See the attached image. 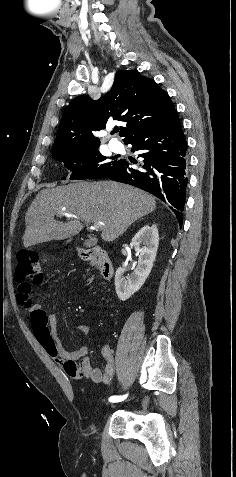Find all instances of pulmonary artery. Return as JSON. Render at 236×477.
I'll use <instances>...</instances> for the list:
<instances>
[{"mask_svg": "<svg viewBox=\"0 0 236 477\" xmlns=\"http://www.w3.org/2000/svg\"><path fill=\"white\" fill-rule=\"evenodd\" d=\"M109 145L114 151H118L120 149V143L118 141L111 140Z\"/></svg>", "mask_w": 236, "mask_h": 477, "instance_id": "pulmonary-artery-1", "label": "pulmonary artery"}]
</instances>
